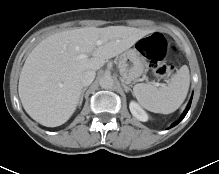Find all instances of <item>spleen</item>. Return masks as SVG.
I'll return each mask as SVG.
<instances>
[{"mask_svg":"<svg viewBox=\"0 0 219 174\" xmlns=\"http://www.w3.org/2000/svg\"><path fill=\"white\" fill-rule=\"evenodd\" d=\"M190 84L189 69L183 65L172 76L168 85L156 87L139 83L133 87V95L147 110L154 113L169 114L176 111L184 102Z\"/></svg>","mask_w":219,"mask_h":174,"instance_id":"1","label":"spleen"}]
</instances>
